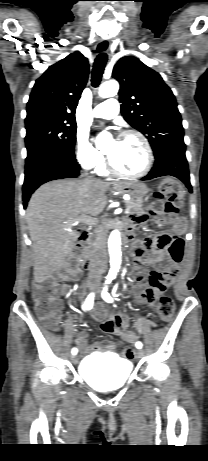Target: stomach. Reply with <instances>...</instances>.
Segmentation results:
<instances>
[{
	"label": "stomach",
	"mask_w": 208,
	"mask_h": 461,
	"mask_svg": "<svg viewBox=\"0 0 208 461\" xmlns=\"http://www.w3.org/2000/svg\"><path fill=\"white\" fill-rule=\"evenodd\" d=\"M121 194H129L133 199H142L148 192L149 188L142 182H122L114 188Z\"/></svg>",
	"instance_id": "0dacf381"
}]
</instances>
